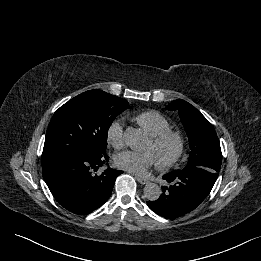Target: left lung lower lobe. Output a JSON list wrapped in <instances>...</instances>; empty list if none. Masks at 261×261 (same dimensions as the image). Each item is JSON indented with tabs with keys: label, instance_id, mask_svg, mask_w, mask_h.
Wrapping results in <instances>:
<instances>
[{
	"label": "left lung lower lobe",
	"instance_id": "0a47b994",
	"mask_svg": "<svg viewBox=\"0 0 261 261\" xmlns=\"http://www.w3.org/2000/svg\"><path fill=\"white\" fill-rule=\"evenodd\" d=\"M219 172L202 166H186L163 176L167 185L148 207L166 219H175L194 210L209 195Z\"/></svg>",
	"mask_w": 261,
	"mask_h": 261
}]
</instances>
